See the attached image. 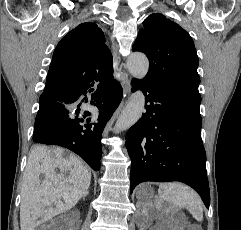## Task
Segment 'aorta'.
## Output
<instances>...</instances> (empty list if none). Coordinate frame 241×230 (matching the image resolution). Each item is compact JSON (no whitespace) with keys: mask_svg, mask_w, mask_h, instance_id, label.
Segmentation results:
<instances>
[{"mask_svg":"<svg viewBox=\"0 0 241 230\" xmlns=\"http://www.w3.org/2000/svg\"><path fill=\"white\" fill-rule=\"evenodd\" d=\"M129 73L138 81H142L149 69V61L142 53H133L127 59ZM145 97L141 90L134 92L126 107L121 112L114 130L124 131L133 126L144 111Z\"/></svg>","mask_w":241,"mask_h":230,"instance_id":"aorta-1","label":"aorta"}]
</instances>
